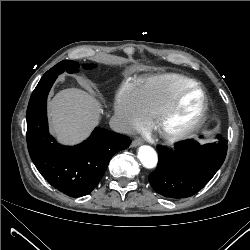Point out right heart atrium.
I'll return each mask as SVG.
<instances>
[{
  "label": "right heart atrium",
  "instance_id": "1",
  "mask_svg": "<svg viewBox=\"0 0 250 250\" xmlns=\"http://www.w3.org/2000/svg\"><path fill=\"white\" fill-rule=\"evenodd\" d=\"M115 113L120 129L126 133L142 130L150 122L135 88L129 84L118 90Z\"/></svg>",
  "mask_w": 250,
  "mask_h": 250
}]
</instances>
